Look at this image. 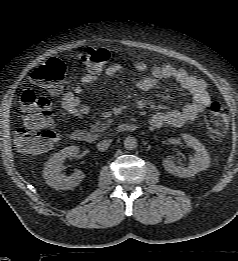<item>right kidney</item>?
Returning a JSON list of instances; mask_svg holds the SVG:
<instances>
[{"instance_id": "obj_1", "label": "right kidney", "mask_w": 238, "mask_h": 261, "mask_svg": "<svg viewBox=\"0 0 238 261\" xmlns=\"http://www.w3.org/2000/svg\"><path fill=\"white\" fill-rule=\"evenodd\" d=\"M78 154L77 146H69L50 157L43 170V176L50 187L56 190H70L80 184L85 178V174L81 170H76L70 176L61 174L64 160L69 157L77 158Z\"/></svg>"}]
</instances>
